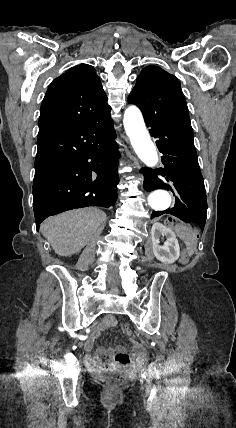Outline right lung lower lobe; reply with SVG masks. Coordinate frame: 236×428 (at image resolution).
<instances>
[{
	"label": "right lung lower lobe",
	"instance_id": "1",
	"mask_svg": "<svg viewBox=\"0 0 236 428\" xmlns=\"http://www.w3.org/2000/svg\"><path fill=\"white\" fill-rule=\"evenodd\" d=\"M116 133L110 113L37 138L33 208L37 230L51 215L117 200Z\"/></svg>",
	"mask_w": 236,
	"mask_h": 428
}]
</instances>
